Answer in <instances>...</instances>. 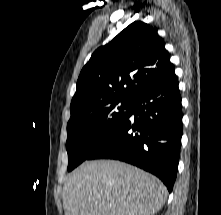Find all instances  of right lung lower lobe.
I'll use <instances>...</instances> for the list:
<instances>
[{"mask_svg": "<svg viewBox=\"0 0 221 215\" xmlns=\"http://www.w3.org/2000/svg\"><path fill=\"white\" fill-rule=\"evenodd\" d=\"M181 96L175 73L137 95L128 115L86 160L116 159L140 167L172 191L182 137Z\"/></svg>", "mask_w": 221, "mask_h": 215, "instance_id": "98d812e1", "label": "right lung lower lobe"}]
</instances>
